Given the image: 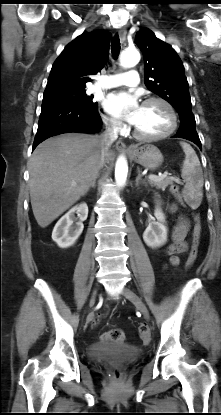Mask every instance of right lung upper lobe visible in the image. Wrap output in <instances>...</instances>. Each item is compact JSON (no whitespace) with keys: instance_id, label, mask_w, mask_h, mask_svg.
Here are the masks:
<instances>
[{"instance_id":"1","label":"right lung upper lobe","mask_w":221,"mask_h":415,"mask_svg":"<svg viewBox=\"0 0 221 415\" xmlns=\"http://www.w3.org/2000/svg\"><path fill=\"white\" fill-rule=\"evenodd\" d=\"M110 37L107 31L95 30L83 32L70 42L54 62L44 94L84 89L89 76L105 66Z\"/></svg>"}]
</instances>
